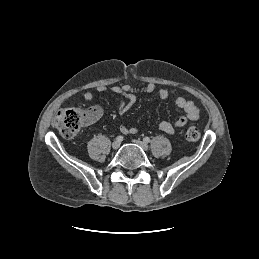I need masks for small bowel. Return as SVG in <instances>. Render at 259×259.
Masks as SVG:
<instances>
[{
  "mask_svg": "<svg viewBox=\"0 0 259 259\" xmlns=\"http://www.w3.org/2000/svg\"><path fill=\"white\" fill-rule=\"evenodd\" d=\"M96 90L99 92H111L117 95L120 98L119 102V112L121 114L126 113L134 105L137 95L144 93L150 94L157 91V95L161 99H166L169 96V93L166 89H158L154 83H148L143 87H132L127 84L122 85H99L96 87ZM83 98L86 101H90L93 98V93L89 90L83 93ZM175 104L178 108L184 111L185 115L177 118L173 123L168 121H161L158 125L160 131L173 134L177 128L184 127L189 121H196L199 118L200 110L192 102L184 97H177ZM93 117L90 121H96L101 116V109L99 107H93L92 109ZM120 132L127 134H136L137 129L134 127L120 126Z\"/></svg>",
  "mask_w": 259,
  "mask_h": 259,
  "instance_id": "small-bowel-1",
  "label": "small bowel"
}]
</instances>
